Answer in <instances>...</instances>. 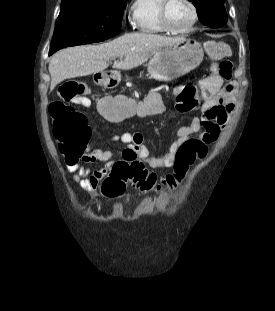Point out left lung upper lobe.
I'll use <instances>...</instances> for the list:
<instances>
[{"instance_id":"left-lung-upper-lobe-1","label":"left lung upper lobe","mask_w":275,"mask_h":311,"mask_svg":"<svg viewBox=\"0 0 275 311\" xmlns=\"http://www.w3.org/2000/svg\"><path fill=\"white\" fill-rule=\"evenodd\" d=\"M197 8L199 20L210 28H219L227 23L224 0H189Z\"/></svg>"}]
</instances>
